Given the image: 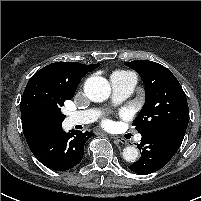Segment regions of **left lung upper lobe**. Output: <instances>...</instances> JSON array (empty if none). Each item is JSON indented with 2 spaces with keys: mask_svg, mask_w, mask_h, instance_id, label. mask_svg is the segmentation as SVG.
I'll list each match as a JSON object with an SVG mask.
<instances>
[{
  "mask_svg": "<svg viewBox=\"0 0 201 201\" xmlns=\"http://www.w3.org/2000/svg\"><path fill=\"white\" fill-rule=\"evenodd\" d=\"M141 76L145 85V104L133 122L142 135L167 127L187 129L189 108L186 95L172 72L148 60L125 63Z\"/></svg>",
  "mask_w": 201,
  "mask_h": 201,
  "instance_id": "5c2ea615",
  "label": "left lung upper lobe"
}]
</instances>
